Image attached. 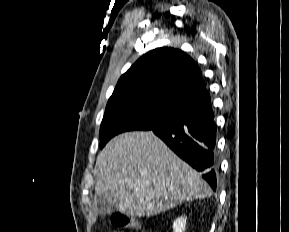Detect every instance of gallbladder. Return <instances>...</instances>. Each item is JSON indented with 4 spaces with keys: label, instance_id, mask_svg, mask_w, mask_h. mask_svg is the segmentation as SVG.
Wrapping results in <instances>:
<instances>
[{
    "label": "gallbladder",
    "instance_id": "1",
    "mask_svg": "<svg viewBox=\"0 0 289 232\" xmlns=\"http://www.w3.org/2000/svg\"><path fill=\"white\" fill-rule=\"evenodd\" d=\"M97 210L100 215L111 214L115 210V199L112 194L95 198Z\"/></svg>",
    "mask_w": 289,
    "mask_h": 232
}]
</instances>
